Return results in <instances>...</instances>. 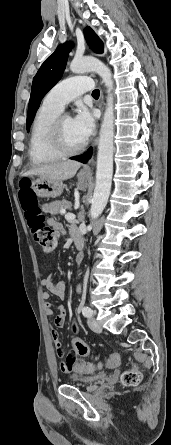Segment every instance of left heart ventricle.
<instances>
[{
  "instance_id": "obj_1",
  "label": "left heart ventricle",
  "mask_w": 171,
  "mask_h": 445,
  "mask_svg": "<svg viewBox=\"0 0 171 445\" xmlns=\"http://www.w3.org/2000/svg\"><path fill=\"white\" fill-rule=\"evenodd\" d=\"M62 134L65 144L69 147H76L85 140L75 128L73 119L68 116L63 120Z\"/></svg>"
}]
</instances>
